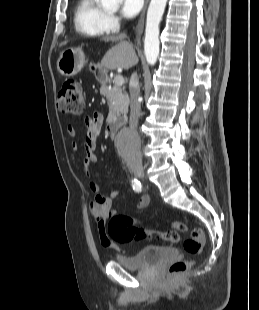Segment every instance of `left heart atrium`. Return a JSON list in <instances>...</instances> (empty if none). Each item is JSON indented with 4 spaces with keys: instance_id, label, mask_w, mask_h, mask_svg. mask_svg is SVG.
Instances as JSON below:
<instances>
[{
    "instance_id": "39dd6f15",
    "label": "left heart atrium",
    "mask_w": 259,
    "mask_h": 310,
    "mask_svg": "<svg viewBox=\"0 0 259 310\" xmlns=\"http://www.w3.org/2000/svg\"><path fill=\"white\" fill-rule=\"evenodd\" d=\"M144 0H121V14L125 18L135 17L142 9Z\"/></svg>"
}]
</instances>
